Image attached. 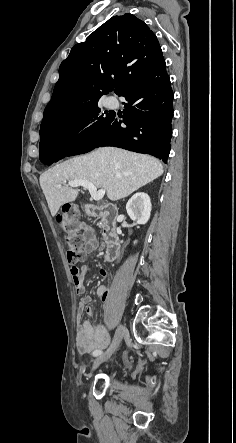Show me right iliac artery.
I'll use <instances>...</instances> for the list:
<instances>
[{"label":"right iliac artery","mask_w":236,"mask_h":443,"mask_svg":"<svg viewBox=\"0 0 236 443\" xmlns=\"http://www.w3.org/2000/svg\"><path fill=\"white\" fill-rule=\"evenodd\" d=\"M101 354H102L101 350H96V351L93 352L94 356H98V355H101Z\"/></svg>","instance_id":"82829eb1"}]
</instances>
